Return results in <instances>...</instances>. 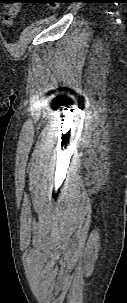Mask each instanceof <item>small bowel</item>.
<instances>
[{
    "instance_id": "small-bowel-1",
    "label": "small bowel",
    "mask_w": 127,
    "mask_h": 303,
    "mask_svg": "<svg viewBox=\"0 0 127 303\" xmlns=\"http://www.w3.org/2000/svg\"><path fill=\"white\" fill-rule=\"evenodd\" d=\"M18 9H19L18 5H12L9 8V11H8V14H7V17H6V23L7 24H11L12 23L13 17L17 13Z\"/></svg>"
}]
</instances>
